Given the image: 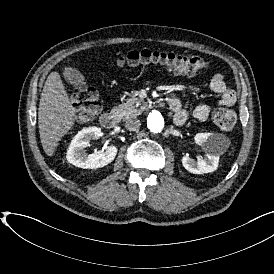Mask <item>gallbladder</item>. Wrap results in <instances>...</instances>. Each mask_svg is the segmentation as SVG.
Listing matches in <instances>:
<instances>
[{
	"instance_id": "bac80fb5",
	"label": "gallbladder",
	"mask_w": 274,
	"mask_h": 274,
	"mask_svg": "<svg viewBox=\"0 0 274 274\" xmlns=\"http://www.w3.org/2000/svg\"><path fill=\"white\" fill-rule=\"evenodd\" d=\"M64 78L66 82L72 85L75 89H79L81 91L80 87H84V90L88 88V83L84 75L81 73L80 69L76 67L66 69Z\"/></svg>"
}]
</instances>
